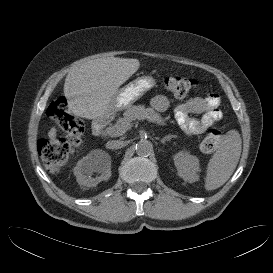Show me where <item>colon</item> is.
Here are the masks:
<instances>
[{
    "mask_svg": "<svg viewBox=\"0 0 273 273\" xmlns=\"http://www.w3.org/2000/svg\"><path fill=\"white\" fill-rule=\"evenodd\" d=\"M197 85L195 79L183 76H167L164 87L167 92L177 98L184 97L192 92ZM48 115L55 120L67 133V138L54 141L41 140L38 144L39 154L43 163L51 172H59L66 165L75 147L82 142L84 134L83 123L68 111V103L64 97L54 100L48 107ZM224 130H211L201 143L204 152L216 150L222 143Z\"/></svg>",
    "mask_w": 273,
    "mask_h": 273,
    "instance_id": "colon-1",
    "label": "colon"
}]
</instances>
